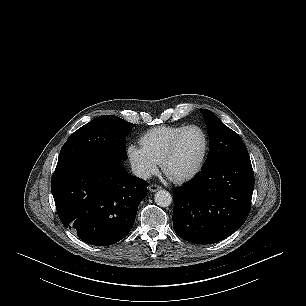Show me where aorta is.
<instances>
[{
    "label": "aorta",
    "mask_w": 306,
    "mask_h": 306,
    "mask_svg": "<svg viewBox=\"0 0 306 306\" xmlns=\"http://www.w3.org/2000/svg\"><path fill=\"white\" fill-rule=\"evenodd\" d=\"M155 203L160 207H167L172 202L171 194L166 190H159L155 194Z\"/></svg>",
    "instance_id": "1"
}]
</instances>
